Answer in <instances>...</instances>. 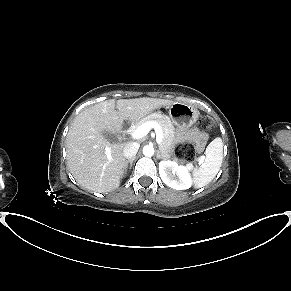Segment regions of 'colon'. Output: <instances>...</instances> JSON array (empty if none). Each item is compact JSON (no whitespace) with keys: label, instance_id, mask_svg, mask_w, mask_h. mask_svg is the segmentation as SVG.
Here are the masks:
<instances>
[{"label":"colon","instance_id":"obj_1","mask_svg":"<svg viewBox=\"0 0 291 291\" xmlns=\"http://www.w3.org/2000/svg\"><path fill=\"white\" fill-rule=\"evenodd\" d=\"M199 129L202 131L209 130L213 127V122L209 117L201 118ZM175 156L184 161H190L195 157V146L191 142H183L176 146Z\"/></svg>","mask_w":291,"mask_h":291}]
</instances>
